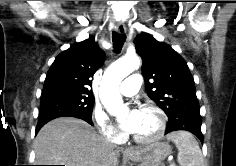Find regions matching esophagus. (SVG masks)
Returning <instances> with one entry per match:
<instances>
[{
    "label": "esophagus",
    "mask_w": 236,
    "mask_h": 166,
    "mask_svg": "<svg viewBox=\"0 0 236 166\" xmlns=\"http://www.w3.org/2000/svg\"><path fill=\"white\" fill-rule=\"evenodd\" d=\"M115 30L119 33V34H125L126 33V26L124 23L120 22V23H117V25L115 26ZM125 152L127 153H133V152H136L135 149L133 148H126Z\"/></svg>",
    "instance_id": "1"
}]
</instances>
